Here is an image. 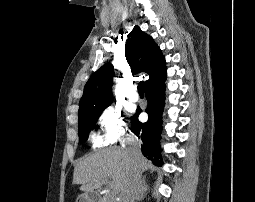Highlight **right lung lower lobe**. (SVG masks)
Listing matches in <instances>:
<instances>
[{
    "mask_svg": "<svg viewBox=\"0 0 255 202\" xmlns=\"http://www.w3.org/2000/svg\"><path fill=\"white\" fill-rule=\"evenodd\" d=\"M148 106L145 110L148 113V121L138 122L137 116L141 112L137 110L136 115L132 117V131L142 140L141 150L147 159L153 164L161 166V148L160 135L162 132V112L165 99V81L145 89Z\"/></svg>",
    "mask_w": 255,
    "mask_h": 202,
    "instance_id": "right-lung-lower-lobe-1",
    "label": "right lung lower lobe"
}]
</instances>
